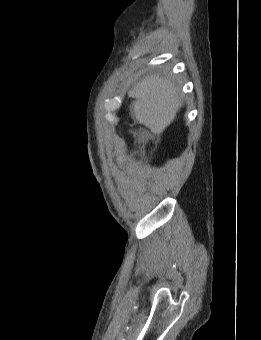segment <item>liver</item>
Masks as SVG:
<instances>
[{"instance_id": "obj_1", "label": "liver", "mask_w": 261, "mask_h": 340, "mask_svg": "<svg viewBox=\"0 0 261 340\" xmlns=\"http://www.w3.org/2000/svg\"><path fill=\"white\" fill-rule=\"evenodd\" d=\"M135 98L133 116L153 133L161 134L183 106L180 89L170 77L150 75L130 90Z\"/></svg>"}]
</instances>
